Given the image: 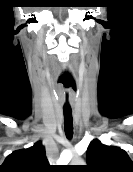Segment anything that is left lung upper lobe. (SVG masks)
<instances>
[{
    "mask_svg": "<svg viewBox=\"0 0 133 172\" xmlns=\"http://www.w3.org/2000/svg\"><path fill=\"white\" fill-rule=\"evenodd\" d=\"M87 163L85 172H133V163L124 150L103 145L97 139L88 146Z\"/></svg>",
    "mask_w": 133,
    "mask_h": 172,
    "instance_id": "left-lung-upper-lobe-1",
    "label": "left lung upper lobe"
}]
</instances>
